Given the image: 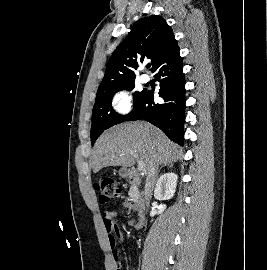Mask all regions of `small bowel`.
<instances>
[{
	"mask_svg": "<svg viewBox=\"0 0 267 270\" xmlns=\"http://www.w3.org/2000/svg\"><path fill=\"white\" fill-rule=\"evenodd\" d=\"M119 205L121 208L126 209L127 211H130L131 209H133V206L127 201H122L119 203ZM115 216H116L115 212H107L104 214V225L107 230L112 249H114L116 241L119 239H122L123 237L121 230L113 221ZM130 225L133 226L135 229H142L143 220L141 218L131 219ZM113 255H114V265L117 268V260H116L117 253L115 250H114Z\"/></svg>",
	"mask_w": 267,
	"mask_h": 270,
	"instance_id": "obj_1",
	"label": "small bowel"
}]
</instances>
